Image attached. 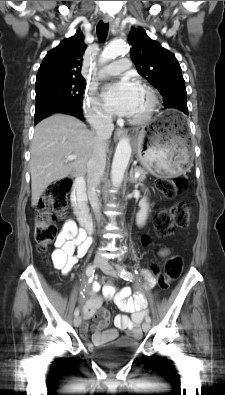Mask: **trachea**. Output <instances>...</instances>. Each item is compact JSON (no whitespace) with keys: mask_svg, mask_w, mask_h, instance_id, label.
Listing matches in <instances>:
<instances>
[{"mask_svg":"<svg viewBox=\"0 0 225 395\" xmlns=\"http://www.w3.org/2000/svg\"><path fill=\"white\" fill-rule=\"evenodd\" d=\"M96 29H97V35H98L99 39L103 41L107 37L109 24L103 23L102 21H100L97 24Z\"/></svg>","mask_w":225,"mask_h":395,"instance_id":"trachea-1","label":"trachea"}]
</instances>
